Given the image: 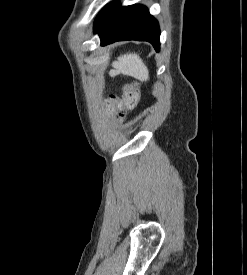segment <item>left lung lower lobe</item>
Listing matches in <instances>:
<instances>
[{"instance_id": "1", "label": "left lung lower lobe", "mask_w": 247, "mask_h": 275, "mask_svg": "<svg viewBox=\"0 0 247 275\" xmlns=\"http://www.w3.org/2000/svg\"><path fill=\"white\" fill-rule=\"evenodd\" d=\"M94 32L101 38V45L123 41H148L154 49H160L158 22L148 9L139 4L122 7L118 1L107 4L98 14Z\"/></svg>"}]
</instances>
